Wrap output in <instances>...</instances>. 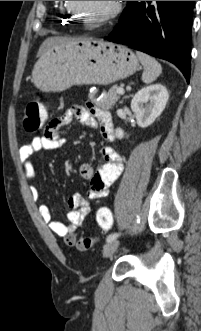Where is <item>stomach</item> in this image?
Wrapping results in <instances>:
<instances>
[{
	"mask_svg": "<svg viewBox=\"0 0 201 331\" xmlns=\"http://www.w3.org/2000/svg\"><path fill=\"white\" fill-rule=\"evenodd\" d=\"M139 61L126 46L102 39H76L46 50L35 63L32 76L44 92H61L73 85H108L138 69Z\"/></svg>",
	"mask_w": 201,
	"mask_h": 331,
	"instance_id": "1",
	"label": "stomach"
}]
</instances>
